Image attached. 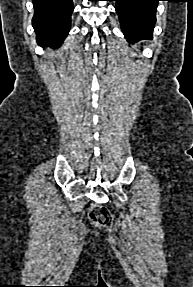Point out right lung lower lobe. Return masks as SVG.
<instances>
[{
    "label": "right lung lower lobe",
    "instance_id": "1",
    "mask_svg": "<svg viewBox=\"0 0 193 287\" xmlns=\"http://www.w3.org/2000/svg\"><path fill=\"white\" fill-rule=\"evenodd\" d=\"M32 24L39 44L58 47L71 26L72 0H33Z\"/></svg>",
    "mask_w": 193,
    "mask_h": 287
}]
</instances>
